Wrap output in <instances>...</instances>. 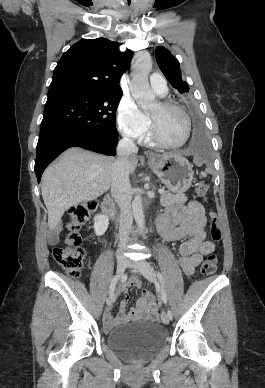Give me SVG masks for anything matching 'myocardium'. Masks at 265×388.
Segmentation results:
<instances>
[{"label": "myocardium", "mask_w": 265, "mask_h": 388, "mask_svg": "<svg viewBox=\"0 0 265 388\" xmlns=\"http://www.w3.org/2000/svg\"><path fill=\"white\" fill-rule=\"evenodd\" d=\"M152 87L154 88L153 84H151ZM158 91H166V90H156ZM160 105L166 109V110H174L178 112L182 117H183V122H184V127H183V137L182 139L177 142V143H170L167 142L166 140L163 139V137L160 135L156 120L153 116H151V121H152V136L153 139L155 140L156 143H158L160 146L164 148H179L183 146L187 140L189 139L190 132H191V122H190V117L189 115L183 110L181 107H179L176 104L165 102V103H160Z\"/></svg>", "instance_id": "myocardium-1"}]
</instances>
